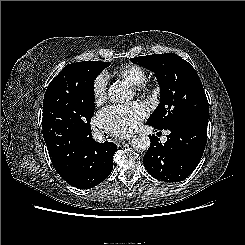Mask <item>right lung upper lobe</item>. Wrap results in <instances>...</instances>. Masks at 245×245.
Masks as SVG:
<instances>
[{"mask_svg":"<svg viewBox=\"0 0 245 245\" xmlns=\"http://www.w3.org/2000/svg\"><path fill=\"white\" fill-rule=\"evenodd\" d=\"M79 84L69 64L49 84L43 100L42 129L44 139L73 132L72 121L81 104Z\"/></svg>","mask_w":245,"mask_h":245,"instance_id":"obj_1","label":"right lung upper lobe"}]
</instances>
